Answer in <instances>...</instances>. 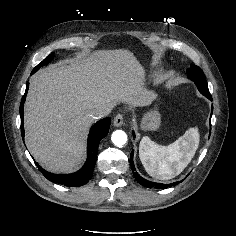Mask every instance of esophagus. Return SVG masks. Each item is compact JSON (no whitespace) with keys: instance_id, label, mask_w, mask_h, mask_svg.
Here are the masks:
<instances>
[{"instance_id":"obj_1","label":"esophagus","mask_w":236,"mask_h":236,"mask_svg":"<svg viewBox=\"0 0 236 236\" xmlns=\"http://www.w3.org/2000/svg\"><path fill=\"white\" fill-rule=\"evenodd\" d=\"M124 118L122 113H118L115 118H114V126L115 127H120L123 124Z\"/></svg>"}]
</instances>
